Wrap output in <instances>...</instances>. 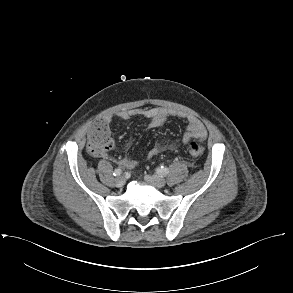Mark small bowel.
Segmentation results:
<instances>
[{
    "mask_svg": "<svg viewBox=\"0 0 293 293\" xmlns=\"http://www.w3.org/2000/svg\"><path fill=\"white\" fill-rule=\"evenodd\" d=\"M133 117H142L147 119L148 127L152 129L160 127L171 117H178V118L184 119L187 123L186 134H185L186 140L190 138H198L203 141L207 137V131L205 126L196 117L182 113V112H177L174 110L160 108V107L135 108L130 110H123V111L105 115L102 120L106 124H109L113 122L115 119L128 120ZM161 150H162V147L155 146L147 152V157L152 158L156 156ZM119 163L121 166L128 169H132L136 165L135 160L131 158H127V157L122 158L119 161Z\"/></svg>",
    "mask_w": 293,
    "mask_h": 293,
    "instance_id": "obj_1",
    "label": "small bowel"
}]
</instances>
